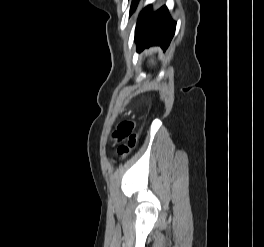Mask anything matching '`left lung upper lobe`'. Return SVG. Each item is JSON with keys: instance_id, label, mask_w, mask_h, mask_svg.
Listing matches in <instances>:
<instances>
[{"instance_id": "obj_1", "label": "left lung upper lobe", "mask_w": 264, "mask_h": 247, "mask_svg": "<svg viewBox=\"0 0 264 247\" xmlns=\"http://www.w3.org/2000/svg\"><path fill=\"white\" fill-rule=\"evenodd\" d=\"M139 0H132L130 8V16L136 10Z\"/></svg>"}]
</instances>
